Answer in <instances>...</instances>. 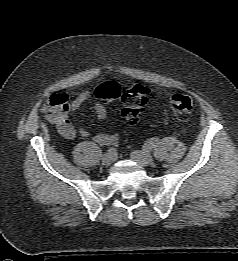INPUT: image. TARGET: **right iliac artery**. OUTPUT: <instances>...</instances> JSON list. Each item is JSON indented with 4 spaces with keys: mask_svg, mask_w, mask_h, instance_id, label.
I'll return each instance as SVG.
<instances>
[{
    "mask_svg": "<svg viewBox=\"0 0 238 261\" xmlns=\"http://www.w3.org/2000/svg\"><path fill=\"white\" fill-rule=\"evenodd\" d=\"M108 152H109L110 155H113V154L116 153V149L111 147V148L108 149Z\"/></svg>",
    "mask_w": 238,
    "mask_h": 261,
    "instance_id": "obj_1",
    "label": "right iliac artery"
}]
</instances>
